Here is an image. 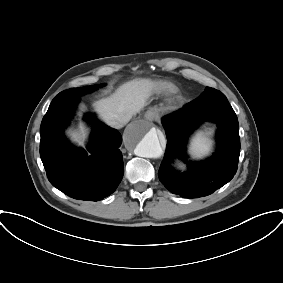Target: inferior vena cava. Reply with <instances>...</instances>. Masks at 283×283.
<instances>
[{
    "label": "inferior vena cava",
    "instance_id": "inferior-vena-cava-1",
    "mask_svg": "<svg viewBox=\"0 0 283 283\" xmlns=\"http://www.w3.org/2000/svg\"><path fill=\"white\" fill-rule=\"evenodd\" d=\"M108 124L115 129H120L126 124V122L120 120H111L108 122Z\"/></svg>",
    "mask_w": 283,
    "mask_h": 283
}]
</instances>
